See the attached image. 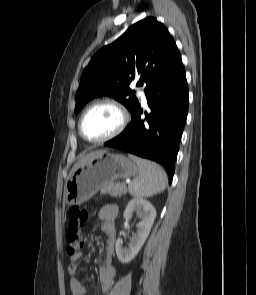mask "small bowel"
Returning <instances> with one entry per match:
<instances>
[{
	"instance_id": "obj_1",
	"label": "small bowel",
	"mask_w": 256,
	"mask_h": 295,
	"mask_svg": "<svg viewBox=\"0 0 256 295\" xmlns=\"http://www.w3.org/2000/svg\"><path fill=\"white\" fill-rule=\"evenodd\" d=\"M118 215V209L115 206L108 205L104 206L99 212V219L102 223L101 227L103 232L107 236V254L111 255L114 252L115 242H116V230H115V220ZM81 254L78 253L72 257L70 264L68 265V273L70 275V290L72 295H85L86 289L81 284V282L75 277L78 271L77 261L80 259ZM118 272L116 268L110 263L109 260H104L100 266L99 271V283L100 290L103 293L108 292L116 277Z\"/></svg>"
}]
</instances>
